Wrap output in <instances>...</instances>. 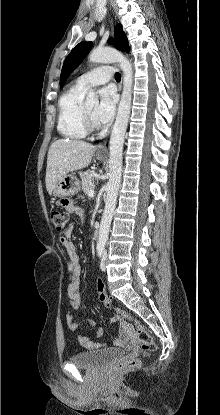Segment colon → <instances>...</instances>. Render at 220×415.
I'll return each mask as SVG.
<instances>
[{
	"label": "colon",
	"mask_w": 220,
	"mask_h": 415,
	"mask_svg": "<svg viewBox=\"0 0 220 415\" xmlns=\"http://www.w3.org/2000/svg\"><path fill=\"white\" fill-rule=\"evenodd\" d=\"M52 223L57 231H62L69 220V215L65 211H53L51 214ZM100 302L108 309H112L114 313L125 320L131 321L136 330V336L141 343L142 349L147 353H152L156 350V344L151 334L140 324L134 315L128 310L116 307L113 305L110 297L106 292L98 293ZM140 366L139 359H126L117 365L118 369H135Z\"/></svg>",
	"instance_id": "obj_1"
}]
</instances>
